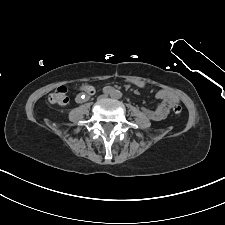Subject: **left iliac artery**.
<instances>
[{
	"label": "left iliac artery",
	"mask_w": 225,
	"mask_h": 225,
	"mask_svg": "<svg viewBox=\"0 0 225 225\" xmlns=\"http://www.w3.org/2000/svg\"><path fill=\"white\" fill-rule=\"evenodd\" d=\"M113 96H114V97H118L119 94H118L117 92H114V93H113Z\"/></svg>",
	"instance_id": "obj_1"
}]
</instances>
